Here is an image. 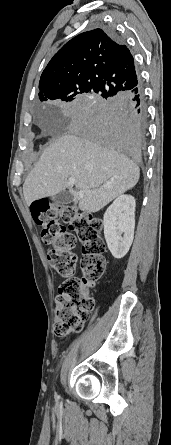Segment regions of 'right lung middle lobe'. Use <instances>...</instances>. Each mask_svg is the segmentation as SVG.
<instances>
[{"label": "right lung middle lobe", "mask_w": 171, "mask_h": 445, "mask_svg": "<svg viewBox=\"0 0 171 445\" xmlns=\"http://www.w3.org/2000/svg\"><path fill=\"white\" fill-rule=\"evenodd\" d=\"M81 94V93H80ZM79 95V94H77ZM77 95H73L70 96L68 98L63 99V101H72L73 98ZM84 96L87 99V109L88 111L90 110V108L93 106V104L99 100L103 99V94L101 93H95V92H91V93H85Z\"/></svg>", "instance_id": "1"}]
</instances>
